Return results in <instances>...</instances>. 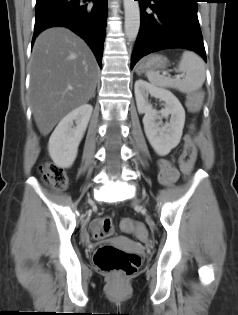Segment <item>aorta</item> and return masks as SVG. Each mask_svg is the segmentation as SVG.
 Here are the masks:
<instances>
[{"mask_svg": "<svg viewBox=\"0 0 238 315\" xmlns=\"http://www.w3.org/2000/svg\"><path fill=\"white\" fill-rule=\"evenodd\" d=\"M125 11V35L129 41H135L140 28V8L138 1L123 0Z\"/></svg>", "mask_w": 238, "mask_h": 315, "instance_id": "aorta-1", "label": "aorta"}]
</instances>
